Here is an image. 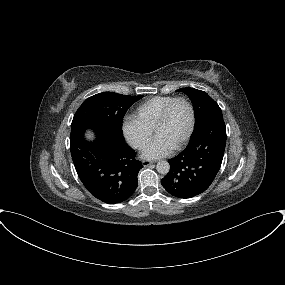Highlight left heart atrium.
I'll list each match as a JSON object with an SVG mask.
<instances>
[{
	"mask_svg": "<svg viewBox=\"0 0 285 285\" xmlns=\"http://www.w3.org/2000/svg\"><path fill=\"white\" fill-rule=\"evenodd\" d=\"M173 146L164 140L162 137L155 136L152 142L143 152V157L147 159H157L169 154Z\"/></svg>",
	"mask_w": 285,
	"mask_h": 285,
	"instance_id": "left-heart-atrium-1",
	"label": "left heart atrium"
}]
</instances>
